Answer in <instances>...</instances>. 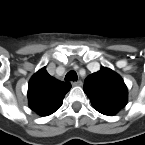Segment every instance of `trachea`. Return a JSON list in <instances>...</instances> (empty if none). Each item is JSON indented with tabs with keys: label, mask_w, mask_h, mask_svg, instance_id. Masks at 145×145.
I'll return each mask as SVG.
<instances>
[{
	"label": "trachea",
	"mask_w": 145,
	"mask_h": 145,
	"mask_svg": "<svg viewBox=\"0 0 145 145\" xmlns=\"http://www.w3.org/2000/svg\"><path fill=\"white\" fill-rule=\"evenodd\" d=\"M65 79L77 81L78 79L77 73L71 70L66 74Z\"/></svg>",
	"instance_id": "3493384b"
}]
</instances>
